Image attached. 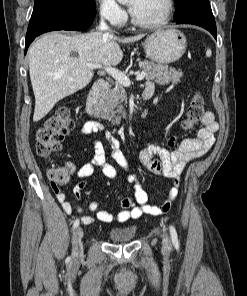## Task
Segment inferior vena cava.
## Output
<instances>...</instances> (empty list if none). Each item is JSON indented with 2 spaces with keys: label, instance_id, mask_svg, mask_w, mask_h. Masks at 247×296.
<instances>
[{
  "label": "inferior vena cava",
  "instance_id": "inferior-vena-cava-1",
  "mask_svg": "<svg viewBox=\"0 0 247 296\" xmlns=\"http://www.w3.org/2000/svg\"><path fill=\"white\" fill-rule=\"evenodd\" d=\"M99 30H101V31H110L109 27L107 26V24L104 22L103 19L100 22Z\"/></svg>",
  "mask_w": 247,
  "mask_h": 296
}]
</instances>
